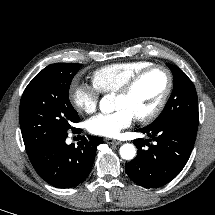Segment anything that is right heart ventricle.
I'll return each mask as SVG.
<instances>
[{
  "mask_svg": "<svg viewBox=\"0 0 215 215\" xmlns=\"http://www.w3.org/2000/svg\"><path fill=\"white\" fill-rule=\"evenodd\" d=\"M148 61H128L105 65L94 71L93 84L102 93L117 92L133 75L151 66Z\"/></svg>",
  "mask_w": 215,
  "mask_h": 215,
  "instance_id": "e07e8e85",
  "label": "right heart ventricle"
}]
</instances>
